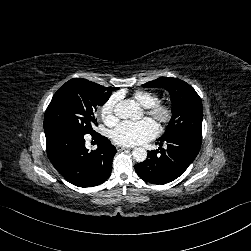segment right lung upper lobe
<instances>
[{"label":"right lung upper lobe","instance_id":"cb5924a9","mask_svg":"<svg viewBox=\"0 0 251 251\" xmlns=\"http://www.w3.org/2000/svg\"><path fill=\"white\" fill-rule=\"evenodd\" d=\"M108 88H112L113 90L118 89V88H113V87H108Z\"/></svg>","mask_w":251,"mask_h":251}]
</instances>
